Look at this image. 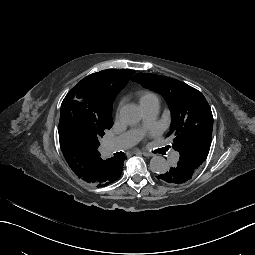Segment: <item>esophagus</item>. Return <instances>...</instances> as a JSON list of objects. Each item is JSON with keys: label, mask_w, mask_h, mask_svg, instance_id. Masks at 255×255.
<instances>
[{"label": "esophagus", "mask_w": 255, "mask_h": 255, "mask_svg": "<svg viewBox=\"0 0 255 255\" xmlns=\"http://www.w3.org/2000/svg\"><path fill=\"white\" fill-rule=\"evenodd\" d=\"M143 155L146 156V157H151V156H153L154 154L149 153V152H143Z\"/></svg>", "instance_id": "esophagus-1"}]
</instances>
